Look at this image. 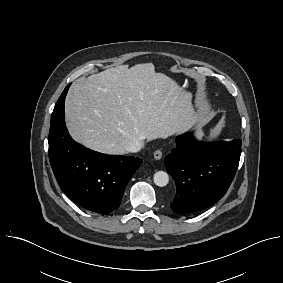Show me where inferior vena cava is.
<instances>
[{"label": "inferior vena cava", "instance_id": "inferior-vena-cava-1", "mask_svg": "<svg viewBox=\"0 0 283 283\" xmlns=\"http://www.w3.org/2000/svg\"><path fill=\"white\" fill-rule=\"evenodd\" d=\"M143 147V143L141 141H134L128 147V152H139Z\"/></svg>", "mask_w": 283, "mask_h": 283}]
</instances>
